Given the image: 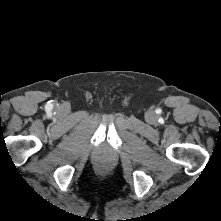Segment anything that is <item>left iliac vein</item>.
Returning <instances> with one entry per match:
<instances>
[{"label":"left iliac vein","instance_id":"left-iliac-vein-1","mask_svg":"<svg viewBox=\"0 0 221 221\" xmlns=\"http://www.w3.org/2000/svg\"><path fill=\"white\" fill-rule=\"evenodd\" d=\"M153 117H154V114H153V113H150V114H148V116H147L148 120H152Z\"/></svg>","mask_w":221,"mask_h":221}]
</instances>
